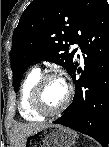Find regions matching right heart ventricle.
Masks as SVG:
<instances>
[{
    "mask_svg": "<svg viewBox=\"0 0 109 147\" xmlns=\"http://www.w3.org/2000/svg\"><path fill=\"white\" fill-rule=\"evenodd\" d=\"M40 77V70L34 69L30 71L27 76L25 77L21 89H20V96H19V111L21 116L30 122H37L42 119V116L34 113L28 105L29 96L31 90Z\"/></svg>",
    "mask_w": 109,
    "mask_h": 147,
    "instance_id": "right-heart-ventricle-1",
    "label": "right heart ventricle"
}]
</instances>
